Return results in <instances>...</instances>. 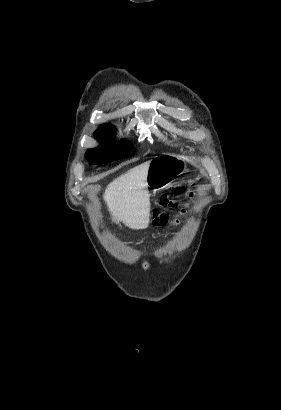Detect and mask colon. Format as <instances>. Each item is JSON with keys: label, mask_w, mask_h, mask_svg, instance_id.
I'll return each mask as SVG.
<instances>
[{"label": "colon", "mask_w": 281, "mask_h": 410, "mask_svg": "<svg viewBox=\"0 0 281 410\" xmlns=\"http://www.w3.org/2000/svg\"><path fill=\"white\" fill-rule=\"evenodd\" d=\"M178 193H179V191L176 188V189H174V191L171 194L163 195L160 199V203L162 205H165V206H174L175 205L174 198L178 195ZM193 196H194V193L189 192L187 194L188 200H191L193 198ZM178 222H179L178 219H174V220L170 221L169 218L167 217V215H165V214H156L155 219H154V223L157 226H162V227L168 226V225H177Z\"/></svg>", "instance_id": "colon-1"}]
</instances>
